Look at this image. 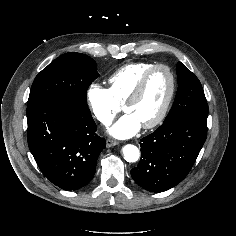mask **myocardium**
<instances>
[{
  "label": "myocardium",
  "mask_w": 236,
  "mask_h": 236,
  "mask_svg": "<svg viewBox=\"0 0 236 236\" xmlns=\"http://www.w3.org/2000/svg\"><path fill=\"white\" fill-rule=\"evenodd\" d=\"M159 69H163L167 72L169 78H170V88H169V92L167 95V98L165 100V103L160 111V113L158 114V116L151 122L146 123L143 125V127L145 129H152L157 127L158 125H160L163 120L165 119V117L168 114V111L171 107L174 95H175V91H176V78L175 75L172 71V69L165 65V64H155L154 66H152L151 68H149L140 78L139 82L137 83L136 87L134 88V90L132 91V93L130 94V96L127 98V100L124 103V110H126L127 106H129L130 104L136 102L140 96L142 95L145 86L148 82V79L150 78V76Z\"/></svg>",
  "instance_id": "1"
}]
</instances>
